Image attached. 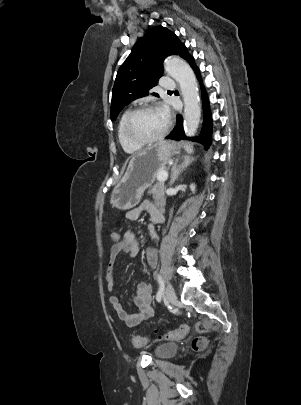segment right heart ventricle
<instances>
[{"mask_svg":"<svg viewBox=\"0 0 301 405\" xmlns=\"http://www.w3.org/2000/svg\"><path fill=\"white\" fill-rule=\"evenodd\" d=\"M127 114H128V112L123 113L119 119L118 126H117V136H118V140H119V143H120L122 149L126 153L132 154V153L137 152L140 149V147L131 144L124 135L123 127H124V122H125Z\"/></svg>","mask_w":301,"mask_h":405,"instance_id":"1","label":"right heart ventricle"}]
</instances>
